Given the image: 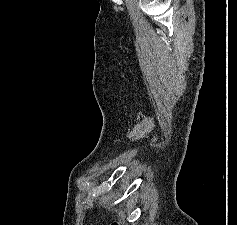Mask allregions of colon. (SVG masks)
<instances>
[{
	"mask_svg": "<svg viewBox=\"0 0 237 225\" xmlns=\"http://www.w3.org/2000/svg\"><path fill=\"white\" fill-rule=\"evenodd\" d=\"M113 225H119L118 223H115V224H113Z\"/></svg>",
	"mask_w": 237,
	"mask_h": 225,
	"instance_id": "obj_1",
	"label": "colon"
}]
</instances>
